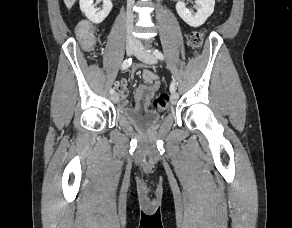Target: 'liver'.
Wrapping results in <instances>:
<instances>
[{"label":"liver","mask_w":292,"mask_h":228,"mask_svg":"<svg viewBox=\"0 0 292 228\" xmlns=\"http://www.w3.org/2000/svg\"><path fill=\"white\" fill-rule=\"evenodd\" d=\"M75 2L76 0H64V3L68 9H70L74 5Z\"/></svg>","instance_id":"1"}]
</instances>
